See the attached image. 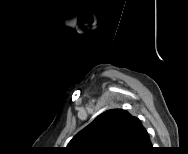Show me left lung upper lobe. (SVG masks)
<instances>
[{"mask_svg": "<svg viewBox=\"0 0 188 154\" xmlns=\"http://www.w3.org/2000/svg\"><path fill=\"white\" fill-rule=\"evenodd\" d=\"M135 120L126 110H108L77 133L67 149L76 154H127Z\"/></svg>", "mask_w": 188, "mask_h": 154, "instance_id": "5c2ea615", "label": "left lung upper lobe"}]
</instances>
